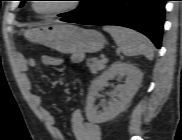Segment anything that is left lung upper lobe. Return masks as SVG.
Masks as SVG:
<instances>
[{
    "instance_id": "obj_1",
    "label": "left lung upper lobe",
    "mask_w": 182,
    "mask_h": 140,
    "mask_svg": "<svg viewBox=\"0 0 182 140\" xmlns=\"http://www.w3.org/2000/svg\"><path fill=\"white\" fill-rule=\"evenodd\" d=\"M101 0H83L77 10L60 14L59 16L65 18H80L91 13L100 3ZM25 0H21L20 6H23Z\"/></svg>"
}]
</instances>
